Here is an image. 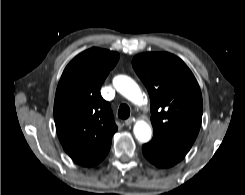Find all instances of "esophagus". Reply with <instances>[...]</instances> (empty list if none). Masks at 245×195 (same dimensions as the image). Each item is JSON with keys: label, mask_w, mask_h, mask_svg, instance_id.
I'll return each mask as SVG.
<instances>
[{"label": "esophagus", "mask_w": 245, "mask_h": 195, "mask_svg": "<svg viewBox=\"0 0 245 195\" xmlns=\"http://www.w3.org/2000/svg\"><path fill=\"white\" fill-rule=\"evenodd\" d=\"M135 121V119L133 117H130L128 118L126 121H125V124L126 126H130L133 124V122Z\"/></svg>", "instance_id": "34e87169"}]
</instances>
